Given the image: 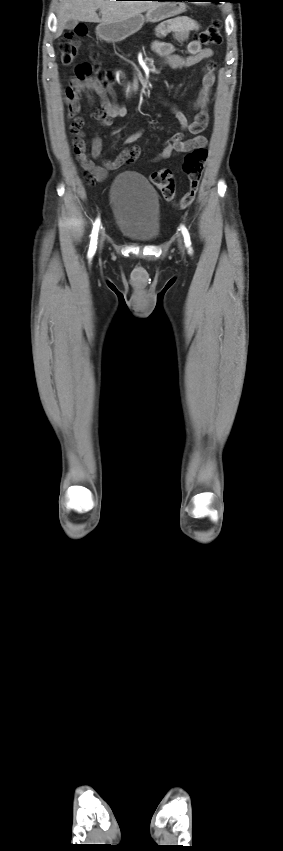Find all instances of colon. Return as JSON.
Returning a JSON list of instances; mask_svg holds the SVG:
<instances>
[{
    "instance_id": "1",
    "label": "colon",
    "mask_w": 283,
    "mask_h": 851,
    "mask_svg": "<svg viewBox=\"0 0 283 851\" xmlns=\"http://www.w3.org/2000/svg\"><path fill=\"white\" fill-rule=\"evenodd\" d=\"M220 29V22L215 20L209 27L197 33L195 40L206 46L219 44L221 42ZM85 34L86 29L84 27H78L75 31L66 33L63 36L60 43V52L61 60L64 64H70L74 61L79 48V38L85 36ZM93 59H95V56H93ZM87 65L88 73H96L101 82L110 83L113 81L111 75L100 71L97 63ZM207 156L208 151L204 147L196 148L185 156L182 170L188 179V190L177 203L180 209L188 208L195 200ZM151 181L161 190L163 197L167 201H174L175 182L171 170L162 169L154 172L151 175Z\"/></svg>"
}]
</instances>
